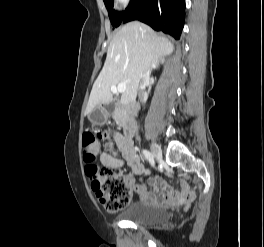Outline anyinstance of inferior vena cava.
<instances>
[{
	"instance_id": "602c4592",
	"label": "inferior vena cava",
	"mask_w": 264,
	"mask_h": 247,
	"mask_svg": "<svg viewBox=\"0 0 264 247\" xmlns=\"http://www.w3.org/2000/svg\"><path fill=\"white\" fill-rule=\"evenodd\" d=\"M149 81V70L145 69L142 75V82L139 85V89H138V96H139V100L142 103H145L147 100V92L144 90V86L145 84Z\"/></svg>"
}]
</instances>
